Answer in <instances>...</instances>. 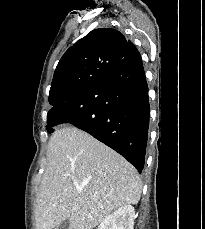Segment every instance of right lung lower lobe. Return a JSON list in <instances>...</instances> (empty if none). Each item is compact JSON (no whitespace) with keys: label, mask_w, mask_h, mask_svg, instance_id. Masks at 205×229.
Instances as JSON below:
<instances>
[{"label":"right lung lower lobe","mask_w":205,"mask_h":229,"mask_svg":"<svg viewBox=\"0 0 205 229\" xmlns=\"http://www.w3.org/2000/svg\"><path fill=\"white\" fill-rule=\"evenodd\" d=\"M149 116L142 58L132 46L104 78L55 105L47 115V130L70 123L117 151L141 173Z\"/></svg>","instance_id":"1"}]
</instances>
